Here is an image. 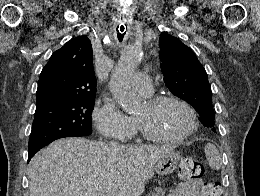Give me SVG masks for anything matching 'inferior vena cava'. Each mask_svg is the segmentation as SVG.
<instances>
[{
	"mask_svg": "<svg viewBox=\"0 0 260 196\" xmlns=\"http://www.w3.org/2000/svg\"><path fill=\"white\" fill-rule=\"evenodd\" d=\"M108 146L109 148H111V150H117V152H119V150H122V148H124V146H119L117 142H108Z\"/></svg>",
	"mask_w": 260,
	"mask_h": 196,
	"instance_id": "inferior-vena-cava-1",
	"label": "inferior vena cava"
}]
</instances>
